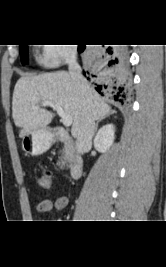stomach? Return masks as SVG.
I'll return each instance as SVG.
<instances>
[{
  "mask_svg": "<svg viewBox=\"0 0 166 267\" xmlns=\"http://www.w3.org/2000/svg\"><path fill=\"white\" fill-rule=\"evenodd\" d=\"M53 142L54 135L51 130L44 127L25 135L22 139V148L31 155L37 156L49 150Z\"/></svg>",
  "mask_w": 166,
  "mask_h": 267,
  "instance_id": "stomach-1",
  "label": "stomach"
}]
</instances>
